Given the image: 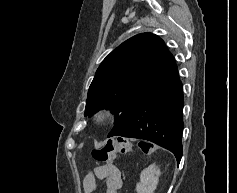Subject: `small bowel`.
<instances>
[{"instance_id":"obj_1","label":"small bowel","mask_w":237,"mask_h":193,"mask_svg":"<svg viewBox=\"0 0 237 193\" xmlns=\"http://www.w3.org/2000/svg\"><path fill=\"white\" fill-rule=\"evenodd\" d=\"M96 179L104 180L105 193H119L123 187L121 172L116 165L100 166L88 174L83 181L84 193H92L95 190Z\"/></svg>"}]
</instances>
